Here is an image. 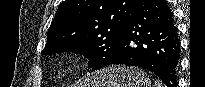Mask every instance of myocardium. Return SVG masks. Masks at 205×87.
I'll list each match as a JSON object with an SVG mask.
<instances>
[{
  "label": "myocardium",
  "mask_w": 205,
  "mask_h": 87,
  "mask_svg": "<svg viewBox=\"0 0 205 87\" xmlns=\"http://www.w3.org/2000/svg\"><path fill=\"white\" fill-rule=\"evenodd\" d=\"M80 56L75 53H69L62 56L56 63L57 70L66 73L78 66Z\"/></svg>",
  "instance_id": "f54148a6"
}]
</instances>
